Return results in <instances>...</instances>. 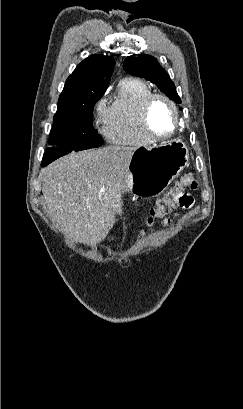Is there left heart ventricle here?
I'll return each instance as SVG.
<instances>
[{
  "label": "left heart ventricle",
  "mask_w": 243,
  "mask_h": 409,
  "mask_svg": "<svg viewBox=\"0 0 243 409\" xmlns=\"http://www.w3.org/2000/svg\"><path fill=\"white\" fill-rule=\"evenodd\" d=\"M150 125L159 135L170 133L175 127V118L170 106L163 100L153 102L150 110Z\"/></svg>",
  "instance_id": "b2bd125f"
}]
</instances>
